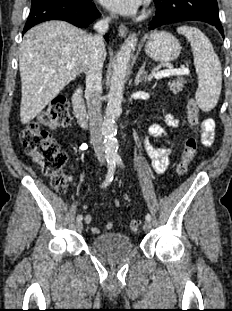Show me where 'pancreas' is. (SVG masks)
I'll return each mask as SVG.
<instances>
[{"instance_id": "cf45deb5", "label": "pancreas", "mask_w": 232, "mask_h": 311, "mask_svg": "<svg viewBox=\"0 0 232 311\" xmlns=\"http://www.w3.org/2000/svg\"><path fill=\"white\" fill-rule=\"evenodd\" d=\"M185 80L182 78L172 80L168 82V86L170 91H172L174 94H176L179 91H182L184 88Z\"/></svg>"}]
</instances>
